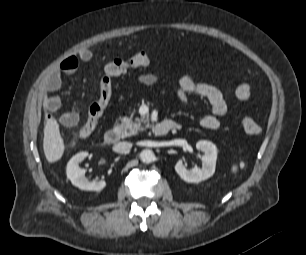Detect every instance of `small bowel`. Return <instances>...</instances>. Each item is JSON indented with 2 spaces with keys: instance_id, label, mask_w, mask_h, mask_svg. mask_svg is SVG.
Returning <instances> with one entry per match:
<instances>
[{
  "instance_id": "1",
  "label": "small bowel",
  "mask_w": 306,
  "mask_h": 255,
  "mask_svg": "<svg viewBox=\"0 0 306 255\" xmlns=\"http://www.w3.org/2000/svg\"><path fill=\"white\" fill-rule=\"evenodd\" d=\"M91 58L92 52L88 49H82L77 56L72 55L63 59L59 66L51 71L44 80L46 91L44 108L50 113L59 114L61 124L66 127L75 126L79 116L74 111H62L61 100L56 95L61 87L62 75L74 73L78 69L79 61L87 62ZM138 81L145 86H152L158 82V77L154 73H141L138 76ZM178 85L176 96L180 102L187 103L190 95H196L210 103L212 112L203 115L199 119V124L206 129H219L228 111V93L214 85L197 82L188 75L181 76ZM233 94L238 101L245 102L250 98L251 88L249 84L243 83L235 89Z\"/></svg>"
}]
</instances>
